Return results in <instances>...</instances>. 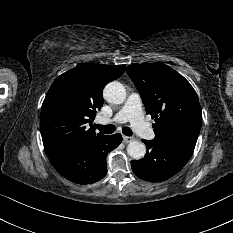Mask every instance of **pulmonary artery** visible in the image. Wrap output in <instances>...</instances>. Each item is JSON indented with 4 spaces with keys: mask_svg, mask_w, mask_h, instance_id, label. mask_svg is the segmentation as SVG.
I'll list each match as a JSON object with an SVG mask.
<instances>
[{
    "mask_svg": "<svg viewBox=\"0 0 233 233\" xmlns=\"http://www.w3.org/2000/svg\"><path fill=\"white\" fill-rule=\"evenodd\" d=\"M129 121L133 129L145 139H153L155 134L144 119L141 98L137 93L128 95L124 105L113 118L98 117V124H109L112 122L124 123Z\"/></svg>",
    "mask_w": 233,
    "mask_h": 233,
    "instance_id": "pulmonary-artery-1",
    "label": "pulmonary artery"
}]
</instances>
